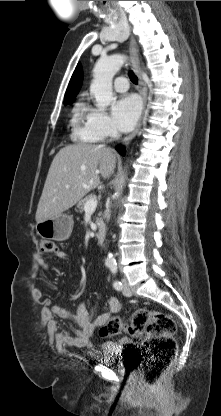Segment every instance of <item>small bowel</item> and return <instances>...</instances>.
<instances>
[{
    "label": "small bowel",
    "instance_id": "c3829d8e",
    "mask_svg": "<svg viewBox=\"0 0 221 416\" xmlns=\"http://www.w3.org/2000/svg\"><path fill=\"white\" fill-rule=\"evenodd\" d=\"M54 255L60 261H66L68 259L67 253L62 250H57ZM36 263L44 270L50 268V265L39 255L36 257ZM36 297L45 305L42 312L43 318L50 330L55 333L57 342L62 345H68L79 349L88 347L96 330L113 315L117 314L121 308L120 301L116 297H111L108 300L107 310L94 317V310L88 309L86 302H80L77 306L76 313L72 314L60 306H50V301L44 299L40 291L37 292ZM56 318L73 321L77 327L74 330V333L72 334L65 330H59V323ZM114 345L113 342H106L103 346L108 350H111Z\"/></svg>",
    "mask_w": 221,
    "mask_h": 416
}]
</instances>
